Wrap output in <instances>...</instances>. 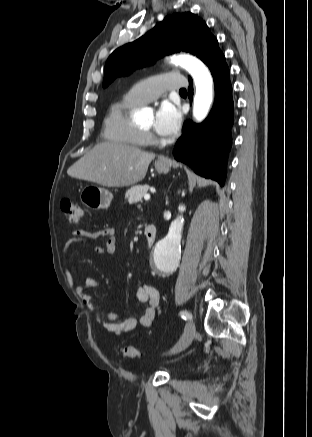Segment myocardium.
<instances>
[{
	"label": "myocardium",
	"instance_id": "1",
	"mask_svg": "<svg viewBox=\"0 0 312 437\" xmlns=\"http://www.w3.org/2000/svg\"><path fill=\"white\" fill-rule=\"evenodd\" d=\"M143 133H145V134H147V135H150V136H152V137H153V135H152V133H151V131H150V130H144V131H143Z\"/></svg>",
	"mask_w": 312,
	"mask_h": 437
}]
</instances>
